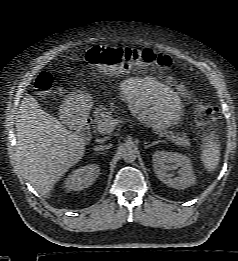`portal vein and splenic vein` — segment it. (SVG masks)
I'll return each instance as SVG.
<instances>
[{"label": "portal vein and splenic vein", "mask_w": 238, "mask_h": 261, "mask_svg": "<svg viewBox=\"0 0 238 261\" xmlns=\"http://www.w3.org/2000/svg\"><path fill=\"white\" fill-rule=\"evenodd\" d=\"M122 122L121 120L114 119L113 117L108 116L101 124L98 126V132L101 134L111 133L118 123Z\"/></svg>", "instance_id": "obj_1"}]
</instances>
